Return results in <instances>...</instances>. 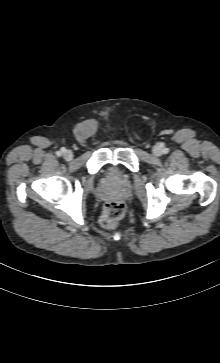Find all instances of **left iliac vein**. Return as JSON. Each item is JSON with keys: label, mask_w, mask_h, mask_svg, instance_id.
Segmentation results:
<instances>
[{"label": "left iliac vein", "mask_w": 220, "mask_h": 363, "mask_svg": "<svg viewBox=\"0 0 220 363\" xmlns=\"http://www.w3.org/2000/svg\"><path fill=\"white\" fill-rule=\"evenodd\" d=\"M162 148H161V146H159V145H155L154 147H153V153H154V155H156V156H160L161 154H162Z\"/></svg>", "instance_id": "obj_1"}]
</instances>
